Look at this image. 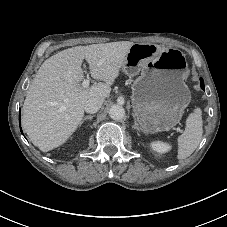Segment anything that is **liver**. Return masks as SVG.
Returning a JSON list of instances; mask_svg holds the SVG:
<instances>
[{
	"mask_svg": "<svg viewBox=\"0 0 227 227\" xmlns=\"http://www.w3.org/2000/svg\"><path fill=\"white\" fill-rule=\"evenodd\" d=\"M133 44L119 41L77 46L45 60L23 104L22 125L36 147L48 152L64 144L81 126L86 101L109 97ZM84 59L91 76L104 83L81 86Z\"/></svg>",
	"mask_w": 227,
	"mask_h": 227,
	"instance_id": "6515ba94",
	"label": "liver"
}]
</instances>
